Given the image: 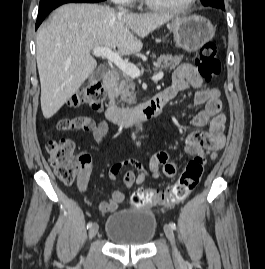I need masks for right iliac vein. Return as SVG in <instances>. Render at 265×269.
Instances as JSON below:
<instances>
[{"mask_svg": "<svg viewBox=\"0 0 265 269\" xmlns=\"http://www.w3.org/2000/svg\"><path fill=\"white\" fill-rule=\"evenodd\" d=\"M98 232V225L93 224L89 229V238H93Z\"/></svg>", "mask_w": 265, "mask_h": 269, "instance_id": "63e3f726", "label": "right iliac vein"}]
</instances>
